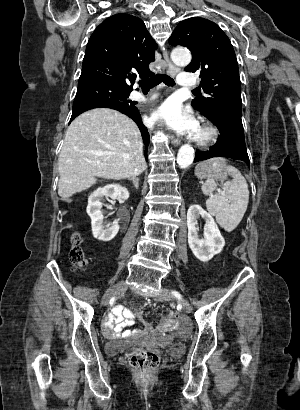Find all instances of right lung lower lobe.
Returning a JSON list of instances; mask_svg holds the SVG:
<instances>
[{"label": "right lung lower lobe", "mask_w": 300, "mask_h": 410, "mask_svg": "<svg viewBox=\"0 0 300 410\" xmlns=\"http://www.w3.org/2000/svg\"><path fill=\"white\" fill-rule=\"evenodd\" d=\"M101 107L112 108V109L118 110V111L122 112L123 114L129 116L131 119H133L136 122V124L138 125V127L141 131V134H142V137H143L144 143H145V148H146L145 151L147 152V148H148V145H149V133H148L147 128L142 123L141 115H140L138 109L133 105L126 106V105H122V104L110 103V102H107V101H98V102L85 104V105L73 108V113H72L70 121H72L79 114H81V113H83L87 110H90V109H93V108H101ZM146 152H145V157L147 159V156H146L147 153Z\"/></svg>", "instance_id": "1"}]
</instances>
